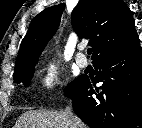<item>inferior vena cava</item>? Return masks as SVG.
<instances>
[{"label": "inferior vena cava", "instance_id": "602c4592", "mask_svg": "<svg viewBox=\"0 0 142 128\" xmlns=\"http://www.w3.org/2000/svg\"><path fill=\"white\" fill-rule=\"evenodd\" d=\"M65 114L71 119H73V117H74L72 109L69 106L66 107Z\"/></svg>", "mask_w": 142, "mask_h": 128}]
</instances>
